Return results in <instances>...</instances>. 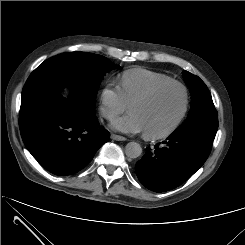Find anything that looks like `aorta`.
<instances>
[{
	"instance_id": "obj_1",
	"label": "aorta",
	"mask_w": 245,
	"mask_h": 245,
	"mask_svg": "<svg viewBox=\"0 0 245 245\" xmlns=\"http://www.w3.org/2000/svg\"><path fill=\"white\" fill-rule=\"evenodd\" d=\"M142 153V147L137 142H129L125 146V154L129 158H137Z\"/></svg>"
}]
</instances>
